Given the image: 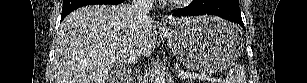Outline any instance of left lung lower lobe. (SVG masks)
Returning a JSON list of instances; mask_svg holds the SVG:
<instances>
[{"label": "left lung lower lobe", "mask_w": 307, "mask_h": 83, "mask_svg": "<svg viewBox=\"0 0 307 83\" xmlns=\"http://www.w3.org/2000/svg\"><path fill=\"white\" fill-rule=\"evenodd\" d=\"M211 14L231 22H237L244 28L239 3L235 0H193L190 5L173 10V16H195Z\"/></svg>", "instance_id": "1"}]
</instances>
